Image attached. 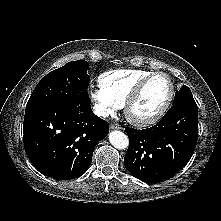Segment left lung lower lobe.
Wrapping results in <instances>:
<instances>
[{
    "mask_svg": "<svg viewBox=\"0 0 221 221\" xmlns=\"http://www.w3.org/2000/svg\"><path fill=\"white\" fill-rule=\"evenodd\" d=\"M125 131L130 142L126 169L144 182L164 181L192 157L198 139V107L195 101L176 103L153 127Z\"/></svg>",
    "mask_w": 221,
    "mask_h": 221,
    "instance_id": "1",
    "label": "left lung lower lobe"
}]
</instances>
